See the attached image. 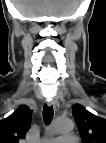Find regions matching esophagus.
I'll use <instances>...</instances> for the list:
<instances>
[{"label":"esophagus","instance_id":"obj_1","mask_svg":"<svg viewBox=\"0 0 106 143\" xmlns=\"http://www.w3.org/2000/svg\"><path fill=\"white\" fill-rule=\"evenodd\" d=\"M48 106H52L56 112L59 111V102L56 99H52L48 102Z\"/></svg>","mask_w":106,"mask_h":143}]
</instances>
